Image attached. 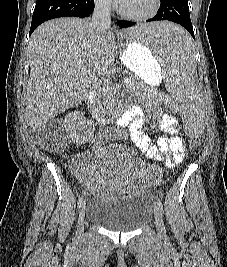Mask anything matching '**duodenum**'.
<instances>
[{
    "label": "duodenum",
    "mask_w": 227,
    "mask_h": 267,
    "mask_svg": "<svg viewBox=\"0 0 227 267\" xmlns=\"http://www.w3.org/2000/svg\"><path fill=\"white\" fill-rule=\"evenodd\" d=\"M85 103L89 112L95 117L99 122H107L112 116L99 108L96 102V93L94 91H89L85 97Z\"/></svg>",
    "instance_id": "duodenum-1"
}]
</instances>
